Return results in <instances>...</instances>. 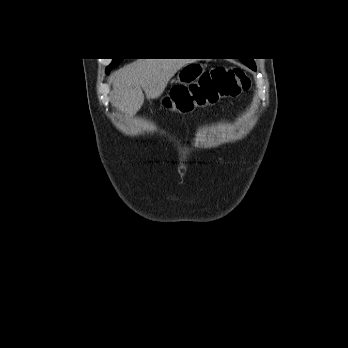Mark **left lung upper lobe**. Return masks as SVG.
<instances>
[{
	"label": "left lung upper lobe",
	"instance_id": "5c2ea615",
	"mask_svg": "<svg viewBox=\"0 0 348 348\" xmlns=\"http://www.w3.org/2000/svg\"><path fill=\"white\" fill-rule=\"evenodd\" d=\"M241 61L252 70H256V65L252 59H245Z\"/></svg>",
	"mask_w": 348,
	"mask_h": 348
}]
</instances>
